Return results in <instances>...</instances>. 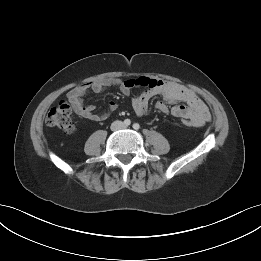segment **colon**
<instances>
[{
    "label": "colon",
    "mask_w": 261,
    "mask_h": 261,
    "mask_svg": "<svg viewBox=\"0 0 261 261\" xmlns=\"http://www.w3.org/2000/svg\"><path fill=\"white\" fill-rule=\"evenodd\" d=\"M47 123L66 133H72L75 130V123L72 120L71 106L65 101L60 102L49 111ZM182 123L186 126H192V122L189 119H182Z\"/></svg>",
    "instance_id": "5ec220e1"
}]
</instances>
